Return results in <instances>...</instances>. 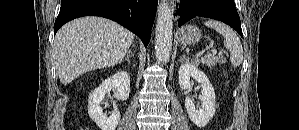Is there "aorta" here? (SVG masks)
Wrapping results in <instances>:
<instances>
[{"instance_id": "1", "label": "aorta", "mask_w": 299, "mask_h": 130, "mask_svg": "<svg viewBox=\"0 0 299 130\" xmlns=\"http://www.w3.org/2000/svg\"><path fill=\"white\" fill-rule=\"evenodd\" d=\"M173 21L168 2L159 3L156 23L155 50L158 63H167L172 49Z\"/></svg>"}]
</instances>
